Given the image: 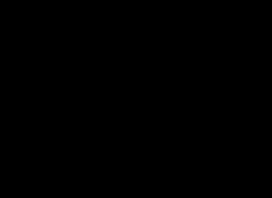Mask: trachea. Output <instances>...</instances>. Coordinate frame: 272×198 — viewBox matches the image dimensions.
Instances as JSON below:
<instances>
[{
	"mask_svg": "<svg viewBox=\"0 0 272 198\" xmlns=\"http://www.w3.org/2000/svg\"><path fill=\"white\" fill-rule=\"evenodd\" d=\"M134 71H135V73H136L137 75H140V74L143 73V69H142V68H139V67H137V66H135Z\"/></svg>",
	"mask_w": 272,
	"mask_h": 198,
	"instance_id": "1",
	"label": "trachea"
}]
</instances>
